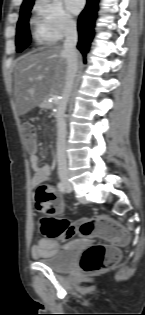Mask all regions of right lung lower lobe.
Instances as JSON below:
<instances>
[{"mask_svg":"<svg viewBox=\"0 0 145 315\" xmlns=\"http://www.w3.org/2000/svg\"><path fill=\"white\" fill-rule=\"evenodd\" d=\"M85 9L81 12L78 20L79 42L77 48L81 51L86 62V54L94 37L95 19L97 17L99 0H87Z\"/></svg>","mask_w":145,"mask_h":315,"instance_id":"obj_1","label":"right lung lower lobe"}]
</instances>
